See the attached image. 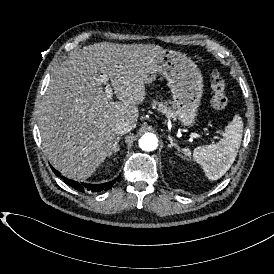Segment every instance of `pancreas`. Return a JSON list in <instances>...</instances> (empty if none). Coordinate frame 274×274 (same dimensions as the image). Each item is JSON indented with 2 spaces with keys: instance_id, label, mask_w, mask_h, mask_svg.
<instances>
[{
  "instance_id": "1",
  "label": "pancreas",
  "mask_w": 274,
  "mask_h": 274,
  "mask_svg": "<svg viewBox=\"0 0 274 274\" xmlns=\"http://www.w3.org/2000/svg\"><path fill=\"white\" fill-rule=\"evenodd\" d=\"M168 101L158 102L157 100H152V107L157 108L158 111L162 112L166 115L167 118L176 119V112L173 111L170 107H168Z\"/></svg>"
}]
</instances>
